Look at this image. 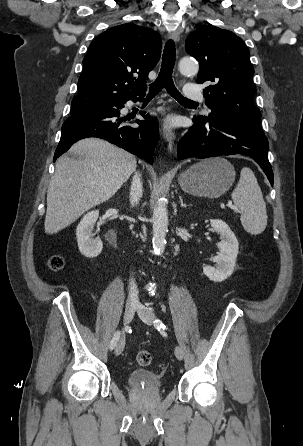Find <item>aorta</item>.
Returning a JSON list of instances; mask_svg holds the SVG:
<instances>
[{
    "mask_svg": "<svg viewBox=\"0 0 303 446\" xmlns=\"http://www.w3.org/2000/svg\"><path fill=\"white\" fill-rule=\"evenodd\" d=\"M180 72L184 75H195L199 71L198 64L190 59H182L179 62ZM153 248L157 255H161L166 246V233L168 231V211L167 201L164 198L158 199L153 211ZM154 284H151L149 291L153 292Z\"/></svg>",
    "mask_w": 303,
    "mask_h": 446,
    "instance_id": "762f6f07",
    "label": "aorta"
}]
</instances>
